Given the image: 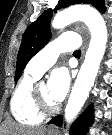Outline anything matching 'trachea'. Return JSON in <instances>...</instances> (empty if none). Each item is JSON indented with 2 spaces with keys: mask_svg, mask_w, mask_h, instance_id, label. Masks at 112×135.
Instances as JSON below:
<instances>
[{
  "mask_svg": "<svg viewBox=\"0 0 112 135\" xmlns=\"http://www.w3.org/2000/svg\"><path fill=\"white\" fill-rule=\"evenodd\" d=\"M81 53V51L80 50H76V51H74V54H80Z\"/></svg>",
  "mask_w": 112,
  "mask_h": 135,
  "instance_id": "trachea-1",
  "label": "trachea"
}]
</instances>
